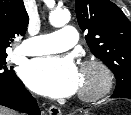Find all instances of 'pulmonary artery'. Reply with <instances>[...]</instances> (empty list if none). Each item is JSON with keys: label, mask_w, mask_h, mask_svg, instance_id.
<instances>
[{"label": "pulmonary artery", "mask_w": 131, "mask_h": 115, "mask_svg": "<svg viewBox=\"0 0 131 115\" xmlns=\"http://www.w3.org/2000/svg\"><path fill=\"white\" fill-rule=\"evenodd\" d=\"M77 39L76 29L72 26H65L56 32L24 40L16 52L26 56L62 52L71 48Z\"/></svg>", "instance_id": "obj_1"}]
</instances>
